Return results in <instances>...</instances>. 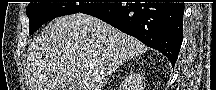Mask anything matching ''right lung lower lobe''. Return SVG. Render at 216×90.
<instances>
[{"label":"right lung lower lobe","instance_id":"98d812e1","mask_svg":"<svg viewBox=\"0 0 216 90\" xmlns=\"http://www.w3.org/2000/svg\"><path fill=\"white\" fill-rule=\"evenodd\" d=\"M82 13L162 52L174 67L182 44L184 3H105Z\"/></svg>","mask_w":216,"mask_h":90}]
</instances>
